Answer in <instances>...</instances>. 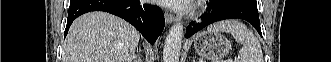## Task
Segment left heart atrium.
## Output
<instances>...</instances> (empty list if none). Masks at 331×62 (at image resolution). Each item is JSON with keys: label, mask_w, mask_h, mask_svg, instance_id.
<instances>
[{"label": "left heart atrium", "mask_w": 331, "mask_h": 62, "mask_svg": "<svg viewBox=\"0 0 331 62\" xmlns=\"http://www.w3.org/2000/svg\"><path fill=\"white\" fill-rule=\"evenodd\" d=\"M160 2L175 10H186L191 4V0H160Z\"/></svg>", "instance_id": "39dd6f15"}]
</instances>
